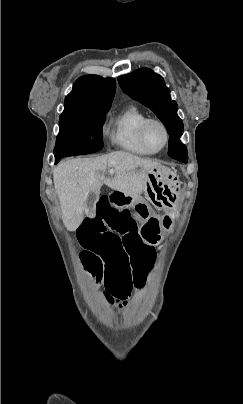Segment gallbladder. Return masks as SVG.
I'll use <instances>...</instances> for the list:
<instances>
[{
	"instance_id": "bac80fb5",
	"label": "gallbladder",
	"mask_w": 243,
	"mask_h": 404,
	"mask_svg": "<svg viewBox=\"0 0 243 404\" xmlns=\"http://www.w3.org/2000/svg\"><path fill=\"white\" fill-rule=\"evenodd\" d=\"M99 198L98 192H91L86 200V207L85 210L88 213V217L92 218V212L95 210V206L97 205V200Z\"/></svg>"
}]
</instances>
